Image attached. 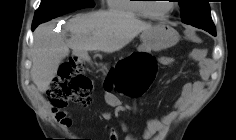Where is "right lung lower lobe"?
<instances>
[{
    "label": "right lung lower lobe",
    "mask_w": 236,
    "mask_h": 140,
    "mask_svg": "<svg viewBox=\"0 0 236 140\" xmlns=\"http://www.w3.org/2000/svg\"><path fill=\"white\" fill-rule=\"evenodd\" d=\"M38 25H32V30H34Z\"/></svg>",
    "instance_id": "obj_1"
}]
</instances>
